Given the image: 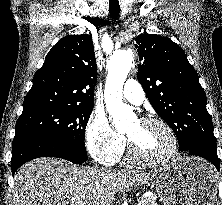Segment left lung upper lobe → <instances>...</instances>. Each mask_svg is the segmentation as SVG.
I'll list each match as a JSON object with an SVG mask.
<instances>
[{"label": "left lung upper lobe", "mask_w": 222, "mask_h": 205, "mask_svg": "<svg viewBox=\"0 0 222 205\" xmlns=\"http://www.w3.org/2000/svg\"><path fill=\"white\" fill-rule=\"evenodd\" d=\"M137 78L156 113L173 129L179 150L216 151L206 95L185 52L171 39L140 34L136 39Z\"/></svg>", "instance_id": "obj_1"}]
</instances>
